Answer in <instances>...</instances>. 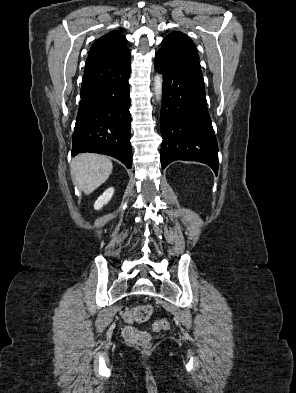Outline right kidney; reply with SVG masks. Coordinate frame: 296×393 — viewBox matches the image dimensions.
Here are the masks:
<instances>
[{"label":"right kidney","mask_w":296,"mask_h":393,"mask_svg":"<svg viewBox=\"0 0 296 393\" xmlns=\"http://www.w3.org/2000/svg\"><path fill=\"white\" fill-rule=\"evenodd\" d=\"M114 194V188H108L94 203V209L100 210L104 205H106L112 198Z\"/></svg>","instance_id":"ca27d5eb"}]
</instances>
